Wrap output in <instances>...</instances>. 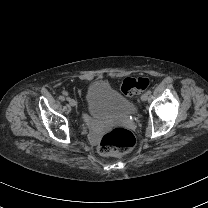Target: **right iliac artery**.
I'll return each mask as SVG.
<instances>
[{
  "label": "right iliac artery",
  "instance_id": "82829eb1",
  "mask_svg": "<svg viewBox=\"0 0 208 208\" xmlns=\"http://www.w3.org/2000/svg\"><path fill=\"white\" fill-rule=\"evenodd\" d=\"M66 100L70 102L71 98L70 97H67Z\"/></svg>",
  "mask_w": 208,
  "mask_h": 208
}]
</instances>
